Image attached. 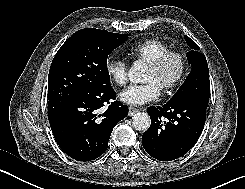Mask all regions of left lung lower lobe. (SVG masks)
I'll list each match as a JSON object with an SVG mask.
<instances>
[{
	"mask_svg": "<svg viewBox=\"0 0 245 189\" xmlns=\"http://www.w3.org/2000/svg\"><path fill=\"white\" fill-rule=\"evenodd\" d=\"M207 106L206 102L186 99L149 107L151 125L142 135L146 152L160 161L174 160L187 153L203 131Z\"/></svg>",
	"mask_w": 245,
	"mask_h": 189,
	"instance_id": "1",
	"label": "left lung lower lobe"
}]
</instances>
